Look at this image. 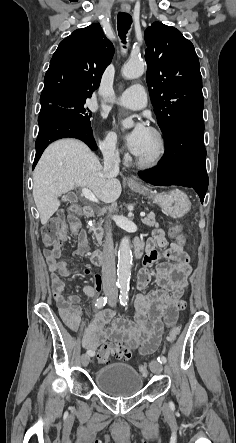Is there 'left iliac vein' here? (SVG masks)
<instances>
[{"label":"left iliac vein","instance_id":"1","mask_svg":"<svg viewBox=\"0 0 236 443\" xmlns=\"http://www.w3.org/2000/svg\"><path fill=\"white\" fill-rule=\"evenodd\" d=\"M149 366L151 371L155 374H160L163 370L162 364L158 361H152Z\"/></svg>","mask_w":236,"mask_h":443}]
</instances>
